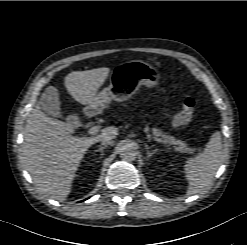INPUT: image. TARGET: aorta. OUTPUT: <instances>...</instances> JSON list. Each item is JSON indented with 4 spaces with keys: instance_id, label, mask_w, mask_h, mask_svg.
Wrapping results in <instances>:
<instances>
[{
    "instance_id": "762f6f07",
    "label": "aorta",
    "mask_w": 247,
    "mask_h": 245,
    "mask_svg": "<svg viewBox=\"0 0 247 245\" xmlns=\"http://www.w3.org/2000/svg\"><path fill=\"white\" fill-rule=\"evenodd\" d=\"M136 149L130 144L125 143L120 149V158L127 162H132L136 159Z\"/></svg>"
}]
</instances>
